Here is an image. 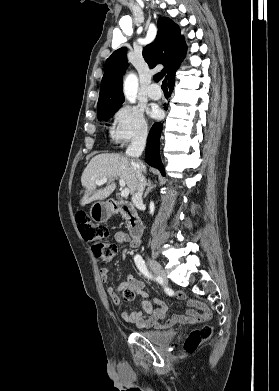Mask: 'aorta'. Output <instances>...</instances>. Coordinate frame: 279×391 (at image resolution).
Segmentation results:
<instances>
[{"mask_svg": "<svg viewBox=\"0 0 279 391\" xmlns=\"http://www.w3.org/2000/svg\"><path fill=\"white\" fill-rule=\"evenodd\" d=\"M137 89H138V78L135 74H129L127 75L125 81H124V86H123V92L125 95V98L130 102V103H135L136 102V97H137Z\"/></svg>", "mask_w": 279, "mask_h": 391, "instance_id": "762f6f07", "label": "aorta"}]
</instances>
